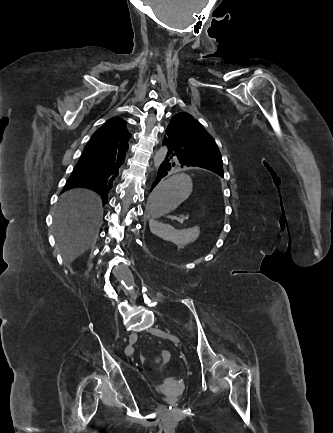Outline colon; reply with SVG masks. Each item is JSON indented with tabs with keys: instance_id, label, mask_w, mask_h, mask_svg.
Segmentation results:
<instances>
[{
	"instance_id": "1",
	"label": "colon",
	"mask_w": 333,
	"mask_h": 433,
	"mask_svg": "<svg viewBox=\"0 0 333 433\" xmlns=\"http://www.w3.org/2000/svg\"><path fill=\"white\" fill-rule=\"evenodd\" d=\"M171 360V353L167 350H163L158 353L155 357V362L159 366V368H163L167 365Z\"/></svg>"
}]
</instances>
